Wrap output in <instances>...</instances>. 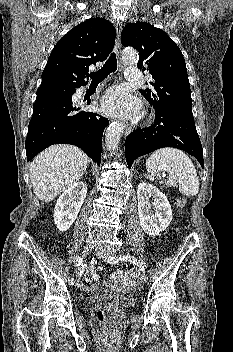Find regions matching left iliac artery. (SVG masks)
<instances>
[{"label":"left iliac artery","instance_id":"obj_1","mask_svg":"<svg viewBox=\"0 0 233 352\" xmlns=\"http://www.w3.org/2000/svg\"><path fill=\"white\" fill-rule=\"evenodd\" d=\"M128 261V262H131L133 263L134 265H137L140 270L145 273V267H144V264L143 262L139 261L137 258H135L134 256H131V255H120L118 257H109L106 261L107 263L109 264H116L118 263V261Z\"/></svg>","mask_w":233,"mask_h":352}]
</instances>
